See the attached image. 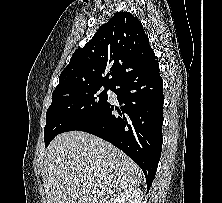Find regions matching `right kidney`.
<instances>
[{"label": "right kidney", "instance_id": "right-kidney-1", "mask_svg": "<svg viewBox=\"0 0 222 203\" xmlns=\"http://www.w3.org/2000/svg\"><path fill=\"white\" fill-rule=\"evenodd\" d=\"M143 194L138 187H131L109 203H142Z\"/></svg>", "mask_w": 222, "mask_h": 203}]
</instances>
